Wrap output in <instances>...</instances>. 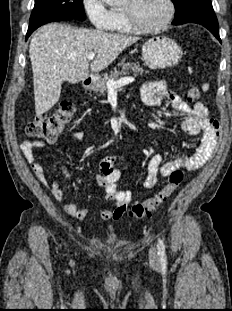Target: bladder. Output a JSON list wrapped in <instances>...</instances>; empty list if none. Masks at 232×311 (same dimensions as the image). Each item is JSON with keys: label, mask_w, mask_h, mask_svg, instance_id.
Returning a JSON list of instances; mask_svg holds the SVG:
<instances>
[{"label": "bladder", "mask_w": 232, "mask_h": 311, "mask_svg": "<svg viewBox=\"0 0 232 311\" xmlns=\"http://www.w3.org/2000/svg\"><path fill=\"white\" fill-rule=\"evenodd\" d=\"M117 241V238L116 236H110L108 239H107V243L109 244H113Z\"/></svg>", "instance_id": "obj_1"}]
</instances>
